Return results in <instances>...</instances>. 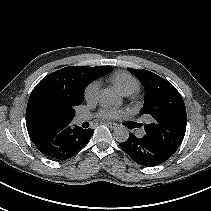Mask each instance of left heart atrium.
I'll use <instances>...</instances> for the list:
<instances>
[{
    "label": "left heart atrium",
    "mask_w": 211,
    "mask_h": 211,
    "mask_svg": "<svg viewBox=\"0 0 211 211\" xmlns=\"http://www.w3.org/2000/svg\"><path fill=\"white\" fill-rule=\"evenodd\" d=\"M119 112L112 108H104L100 112V116L103 118H114L118 116Z\"/></svg>",
    "instance_id": "obj_1"
}]
</instances>
